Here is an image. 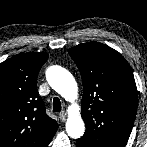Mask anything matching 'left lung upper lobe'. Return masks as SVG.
Returning a JSON list of instances; mask_svg holds the SVG:
<instances>
[{"label":"left lung upper lobe","mask_w":147,"mask_h":147,"mask_svg":"<svg viewBox=\"0 0 147 147\" xmlns=\"http://www.w3.org/2000/svg\"><path fill=\"white\" fill-rule=\"evenodd\" d=\"M83 82L81 116L89 147H125L137 111L130 65L116 50L92 41L68 50Z\"/></svg>","instance_id":"1"}]
</instances>
